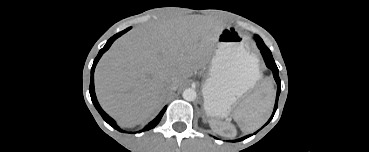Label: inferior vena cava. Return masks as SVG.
<instances>
[{"mask_svg": "<svg viewBox=\"0 0 369 152\" xmlns=\"http://www.w3.org/2000/svg\"><path fill=\"white\" fill-rule=\"evenodd\" d=\"M178 88V84L176 81L174 80H169L167 82V89L168 90H176Z\"/></svg>", "mask_w": 369, "mask_h": 152, "instance_id": "obj_1", "label": "inferior vena cava"}]
</instances>
